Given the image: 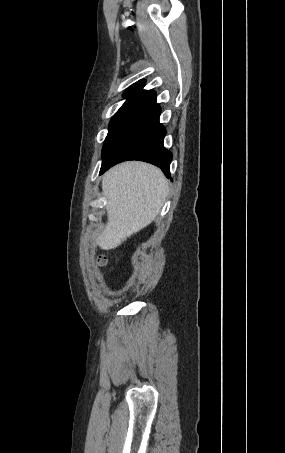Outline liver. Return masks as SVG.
<instances>
[{"mask_svg": "<svg viewBox=\"0 0 285 453\" xmlns=\"http://www.w3.org/2000/svg\"><path fill=\"white\" fill-rule=\"evenodd\" d=\"M102 190L108 221L96 244L110 250L156 218L168 194V182L153 165L125 162L106 172Z\"/></svg>", "mask_w": 285, "mask_h": 453, "instance_id": "obj_1", "label": "liver"}]
</instances>
